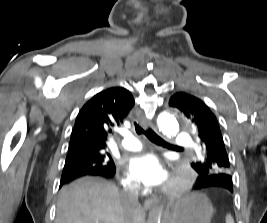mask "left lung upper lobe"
Wrapping results in <instances>:
<instances>
[{
  "label": "left lung upper lobe",
  "instance_id": "left-lung-upper-lobe-1",
  "mask_svg": "<svg viewBox=\"0 0 267 223\" xmlns=\"http://www.w3.org/2000/svg\"><path fill=\"white\" fill-rule=\"evenodd\" d=\"M169 106L177 108L197 131L203 154L191 166L197 173H230V163L215 115L200 99L184 92L174 94Z\"/></svg>",
  "mask_w": 267,
  "mask_h": 223
}]
</instances>
